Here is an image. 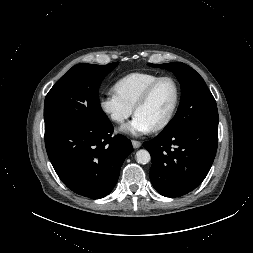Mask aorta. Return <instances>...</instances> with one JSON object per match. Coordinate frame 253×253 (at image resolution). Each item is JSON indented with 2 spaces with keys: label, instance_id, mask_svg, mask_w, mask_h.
I'll use <instances>...</instances> for the list:
<instances>
[{
  "label": "aorta",
  "instance_id": "762f6f07",
  "mask_svg": "<svg viewBox=\"0 0 253 253\" xmlns=\"http://www.w3.org/2000/svg\"><path fill=\"white\" fill-rule=\"evenodd\" d=\"M136 160L140 164H147L151 160L150 153L145 149H141L136 153Z\"/></svg>",
  "mask_w": 253,
  "mask_h": 253
}]
</instances>
